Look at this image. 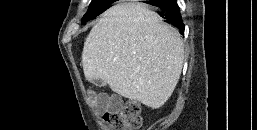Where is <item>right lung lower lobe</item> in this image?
Returning a JSON list of instances; mask_svg holds the SVG:
<instances>
[{"instance_id": "1", "label": "right lung lower lobe", "mask_w": 257, "mask_h": 130, "mask_svg": "<svg viewBox=\"0 0 257 130\" xmlns=\"http://www.w3.org/2000/svg\"><path fill=\"white\" fill-rule=\"evenodd\" d=\"M148 4L160 9V16L165 19V22L177 27L181 32H184L185 27L176 0L153 1L148 2Z\"/></svg>"}]
</instances>
